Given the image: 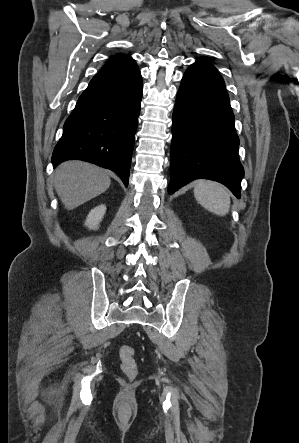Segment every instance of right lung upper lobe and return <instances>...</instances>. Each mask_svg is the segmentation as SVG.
Instances as JSON below:
<instances>
[{
  "label": "right lung upper lobe",
  "mask_w": 299,
  "mask_h": 443,
  "mask_svg": "<svg viewBox=\"0 0 299 443\" xmlns=\"http://www.w3.org/2000/svg\"><path fill=\"white\" fill-rule=\"evenodd\" d=\"M137 64L135 61L126 55H117L110 59L100 70V72H116V71H126L136 68Z\"/></svg>",
  "instance_id": "1"
}]
</instances>
